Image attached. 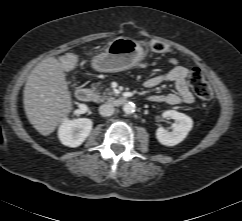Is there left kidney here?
Here are the masks:
<instances>
[{"label":"left kidney","mask_w":242,"mask_h":221,"mask_svg":"<svg viewBox=\"0 0 242 221\" xmlns=\"http://www.w3.org/2000/svg\"><path fill=\"white\" fill-rule=\"evenodd\" d=\"M164 118H171L176 121L173 130L169 132L163 127L156 130L157 140L165 146H175L182 142L193 127L192 119L184 113L175 110H168L163 113Z\"/></svg>","instance_id":"obj_1"}]
</instances>
